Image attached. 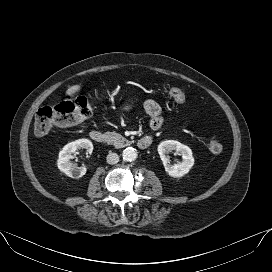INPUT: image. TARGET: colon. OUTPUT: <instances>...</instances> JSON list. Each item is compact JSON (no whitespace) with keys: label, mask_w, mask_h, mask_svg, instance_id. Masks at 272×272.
I'll return each mask as SVG.
<instances>
[{"label":"colon","mask_w":272,"mask_h":272,"mask_svg":"<svg viewBox=\"0 0 272 272\" xmlns=\"http://www.w3.org/2000/svg\"><path fill=\"white\" fill-rule=\"evenodd\" d=\"M172 99L178 103L186 100V93L176 87L169 88ZM92 115V106L86 98L64 99L54 106H43L38 109L34 120V132L38 136L48 134L54 128H65L78 125ZM208 148L212 153H220L223 143L218 139H211Z\"/></svg>","instance_id":"5ec220e1"}]
</instances>
